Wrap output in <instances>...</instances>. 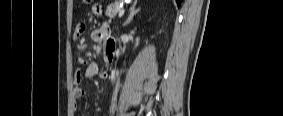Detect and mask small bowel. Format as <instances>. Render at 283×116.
<instances>
[{
  "mask_svg": "<svg viewBox=\"0 0 283 116\" xmlns=\"http://www.w3.org/2000/svg\"><path fill=\"white\" fill-rule=\"evenodd\" d=\"M92 11L95 15L100 16L102 14V8L99 4H95L92 8ZM84 27L80 26L77 28L74 34L75 39H81L82 35L84 33ZM91 38L95 42H104L106 44V58L108 59L113 56L116 49V43L115 41L110 38V31L107 24H102L99 28L95 29L91 33ZM80 48L83 47V44L81 43L79 45ZM79 63L81 65H86L85 69H77L74 75V90H73V96L76 100L84 98L87 94L86 90L81 88V84L84 81V79H92L95 77H106L107 71L103 69L99 63L92 61L89 63H86L85 59L80 57L78 59ZM76 107V106H75Z\"/></svg>",
  "mask_w": 283,
  "mask_h": 116,
  "instance_id": "1",
  "label": "small bowel"
}]
</instances>
